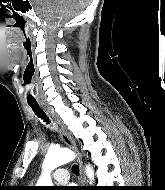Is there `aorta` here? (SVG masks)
Segmentation results:
<instances>
[{
	"label": "aorta",
	"mask_w": 165,
	"mask_h": 190,
	"mask_svg": "<svg viewBox=\"0 0 165 190\" xmlns=\"http://www.w3.org/2000/svg\"><path fill=\"white\" fill-rule=\"evenodd\" d=\"M74 158V153L68 149H49L43 162V173L38 181V186H52V180L50 178L51 171L72 161ZM85 170L90 182H93L94 171L92 167L87 165Z\"/></svg>",
	"instance_id": "aorta-1"
}]
</instances>
